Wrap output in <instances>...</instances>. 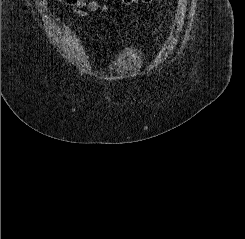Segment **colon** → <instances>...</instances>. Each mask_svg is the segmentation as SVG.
<instances>
[{
	"label": "colon",
	"mask_w": 245,
	"mask_h": 239,
	"mask_svg": "<svg viewBox=\"0 0 245 239\" xmlns=\"http://www.w3.org/2000/svg\"><path fill=\"white\" fill-rule=\"evenodd\" d=\"M67 3L71 4L74 0H65ZM124 4H137V3H150L152 0H121Z\"/></svg>",
	"instance_id": "obj_1"
}]
</instances>
